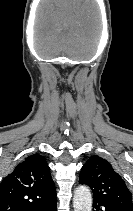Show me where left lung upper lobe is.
<instances>
[{
	"instance_id": "1",
	"label": "left lung upper lobe",
	"mask_w": 133,
	"mask_h": 211,
	"mask_svg": "<svg viewBox=\"0 0 133 211\" xmlns=\"http://www.w3.org/2000/svg\"><path fill=\"white\" fill-rule=\"evenodd\" d=\"M79 182L91 188L95 202L120 211H133L131 192L107 160L92 156L83 165Z\"/></svg>"
}]
</instances>
